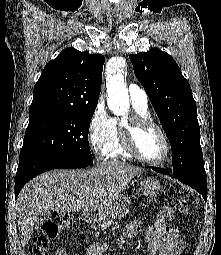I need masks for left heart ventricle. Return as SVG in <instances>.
Instances as JSON below:
<instances>
[{
	"instance_id": "left-heart-ventricle-1",
	"label": "left heart ventricle",
	"mask_w": 221,
	"mask_h": 255,
	"mask_svg": "<svg viewBox=\"0 0 221 255\" xmlns=\"http://www.w3.org/2000/svg\"><path fill=\"white\" fill-rule=\"evenodd\" d=\"M140 152L148 159L159 160L165 154V144L160 133L154 128H147L138 136Z\"/></svg>"
}]
</instances>
